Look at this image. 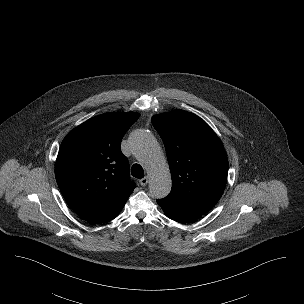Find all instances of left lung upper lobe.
I'll use <instances>...</instances> for the list:
<instances>
[{"label":"left lung upper lobe","mask_w":304,"mask_h":304,"mask_svg":"<svg viewBox=\"0 0 304 304\" xmlns=\"http://www.w3.org/2000/svg\"><path fill=\"white\" fill-rule=\"evenodd\" d=\"M152 124L165 144L172 176L165 199L207 213L227 182L228 159L220 139L204 120L184 110L155 115Z\"/></svg>","instance_id":"left-lung-upper-lobe-1"}]
</instances>
